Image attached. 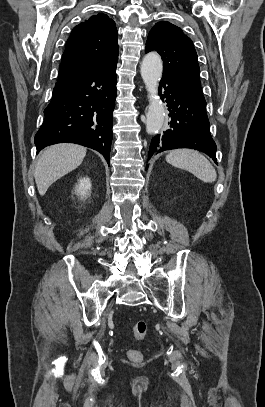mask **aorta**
<instances>
[{
	"label": "aorta",
	"instance_id": "obj_1",
	"mask_svg": "<svg viewBox=\"0 0 265 407\" xmlns=\"http://www.w3.org/2000/svg\"><path fill=\"white\" fill-rule=\"evenodd\" d=\"M163 64L161 57L155 53H148L141 64V76L148 92V110L146 113V131L157 133L163 126L165 108L158 96V82L162 76Z\"/></svg>",
	"mask_w": 265,
	"mask_h": 407
}]
</instances>
